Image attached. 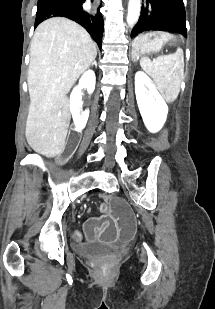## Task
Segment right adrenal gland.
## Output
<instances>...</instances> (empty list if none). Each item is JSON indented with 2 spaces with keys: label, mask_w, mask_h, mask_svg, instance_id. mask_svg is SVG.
<instances>
[{
  "label": "right adrenal gland",
  "mask_w": 215,
  "mask_h": 309,
  "mask_svg": "<svg viewBox=\"0 0 215 309\" xmlns=\"http://www.w3.org/2000/svg\"><path fill=\"white\" fill-rule=\"evenodd\" d=\"M93 64H95V66H97V62H96V60H93V62H92V66H93Z\"/></svg>",
  "instance_id": "right-adrenal-gland-1"
}]
</instances>
